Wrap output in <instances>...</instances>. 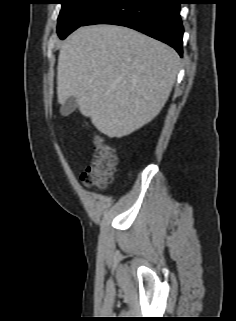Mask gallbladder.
I'll return each instance as SVG.
<instances>
[{
	"instance_id": "bac80fb5",
	"label": "gallbladder",
	"mask_w": 236,
	"mask_h": 321,
	"mask_svg": "<svg viewBox=\"0 0 236 321\" xmlns=\"http://www.w3.org/2000/svg\"><path fill=\"white\" fill-rule=\"evenodd\" d=\"M77 108V99L74 96L68 98L60 108V113L62 116H68Z\"/></svg>"
}]
</instances>
